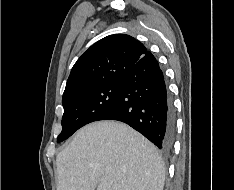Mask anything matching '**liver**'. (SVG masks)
<instances>
[{
	"mask_svg": "<svg viewBox=\"0 0 234 190\" xmlns=\"http://www.w3.org/2000/svg\"><path fill=\"white\" fill-rule=\"evenodd\" d=\"M56 164L57 190L164 187L165 168L156 147L117 121H100L81 128L57 155Z\"/></svg>",
	"mask_w": 234,
	"mask_h": 190,
	"instance_id": "obj_1",
	"label": "liver"
}]
</instances>
